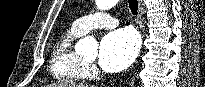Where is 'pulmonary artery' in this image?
<instances>
[{
    "label": "pulmonary artery",
    "mask_w": 205,
    "mask_h": 87,
    "mask_svg": "<svg viewBox=\"0 0 205 87\" xmlns=\"http://www.w3.org/2000/svg\"><path fill=\"white\" fill-rule=\"evenodd\" d=\"M118 24L119 21L115 17L105 12H96L78 18L72 26L77 31L85 34L96 28L109 29L116 27Z\"/></svg>",
    "instance_id": "obj_1"
}]
</instances>
